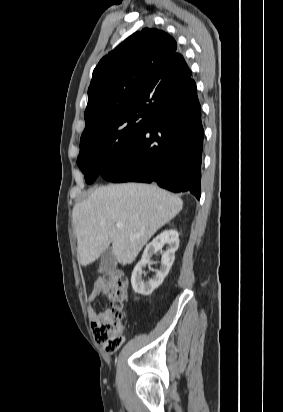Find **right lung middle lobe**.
I'll return each instance as SVG.
<instances>
[{
	"mask_svg": "<svg viewBox=\"0 0 283 412\" xmlns=\"http://www.w3.org/2000/svg\"><path fill=\"white\" fill-rule=\"evenodd\" d=\"M159 106L158 101L136 104L110 119L103 128L81 137L77 164L86 183H93L105 167L128 152Z\"/></svg>",
	"mask_w": 283,
	"mask_h": 412,
	"instance_id": "dd1d6c3e",
	"label": "right lung middle lobe"
}]
</instances>
